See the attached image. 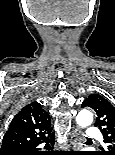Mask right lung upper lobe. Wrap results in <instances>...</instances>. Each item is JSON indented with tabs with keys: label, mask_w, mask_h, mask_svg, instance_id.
Here are the masks:
<instances>
[{
	"label": "right lung upper lobe",
	"mask_w": 115,
	"mask_h": 155,
	"mask_svg": "<svg viewBox=\"0 0 115 155\" xmlns=\"http://www.w3.org/2000/svg\"><path fill=\"white\" fill-rule=\"evenodd\" d=\"M51 120L38 102H32L13 118L6 132L0 155L24 145L53 137Z\"/></svg>",
	"instance_id": "obj_1"
}]
</instances>
